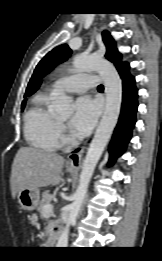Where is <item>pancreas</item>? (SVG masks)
<instances>
[{"label":"pancreas","instance_id":"obj_1","mask_svg":"<svg viewBox=\"0 0 162 261\" xmlns=\"http://www.w3.org/2000/svg\"><path fill=\"white\" fill-rule=\"evenodd\" d=\"M52 201V195L48 192L45 191L42 194V200L40 201L39 205H38V212L40 213L41 218L44 217V206L46 204H49ZM55 226V223L53 221H50L49 224L46 227V235L49 237V239H51V237L54 235V231L53 228Z\"/></svg>","mask_w":162,"mask_h":261}]
</instances>
